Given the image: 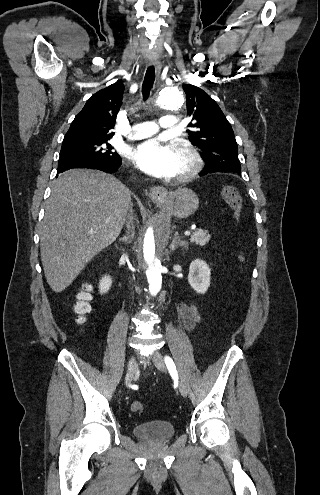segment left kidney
I'll list each match as a JSON object with an SVG mask.
<instances>
[{
	"label": "left kidney",
	"mask_w": 320,
	"mask_h": 495,
	"mask_svg": "<svg viewBox=\"0 0 320 495\" xmlns=\"http://www.w3.org/2000/svg\"><path fill=\"white\" fill-rule=\"evenodd\" d=\"M211 270L206 262L196 259L191 262L188 274L190 286L200 294H204L210 286Z\"/></svg>",
	"instance_id": "left-kidney-1"
}]
</instances>
